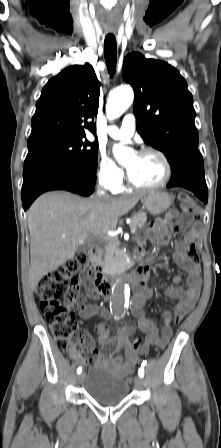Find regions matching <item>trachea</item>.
I'll return each instance as SVG.
<instances>
[{"label": "trachea", "instance_id": "3493384b", "mask_svg": "<svg viewBox=\"0 0 221 448\" xmlns=\"http://www.w3.org/2000/svg\"><path fill=\"white\" fill-rule=\"evenodd\" d=\"M104 56L108 72L111 76H113L116 71V62H117L116 38L113 35H108L105 37Z\"/></svg>", "mask_w": 221, "mask_h": 448}]
</instances>
